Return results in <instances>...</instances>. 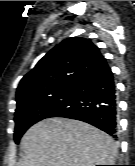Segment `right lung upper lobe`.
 Segmentation results:
<instances>
[{"mask_svg":"<svg viewBox=\"0 0 135 166\" xmlns=\"http://www.w3.org/2000/svg\"><path fill=\"white\" fill-rule=\"evenodd\" d=\"M106 63L90 39L71 37L51 49L20 81L17 106L73 86L86 74Z\"/></svg>","mask_w":135,"mask_h":166,"instance_id":"obj_1","label":"right lung upper lobe"}]
</instances>
